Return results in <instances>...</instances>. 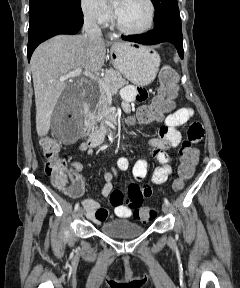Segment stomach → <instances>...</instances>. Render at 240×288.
<instances>
[{"label":"stomach","instance_id":"1","mask_svg":"<svg viewBox=\"0 0 240 288\" xmlns=\"http://www.w3.org/2000/svg\"><path fill=\"white\" fill-rule=\"evenodd\" d=\"M111 60L123 76L138 86L149 85L155 79L161 61L152 48L122 41L112 45Z\"/></svg>","mask_w":240,"mask_h":288}]
</instances>
